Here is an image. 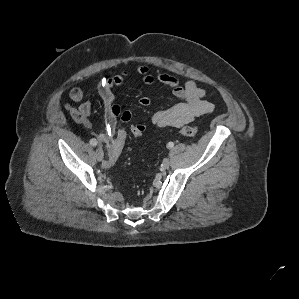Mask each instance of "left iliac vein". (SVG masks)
Segmentation results:
<instances>
[{"instance_id":"left-iliac-vein-1","label":"left iliac vein","mask_w":299,"mask_h":299,"mask_svg":"<svg viewBox=\"0 0 299 299\" xmlns=\"http://www.w3.org/2000/svg\"><path fill=\"white\" fill-rule=\"evenodd\" d=\"M170 166V160L168 158H164L163 162H162V168L163 169H168Z\"/></svg>"}]
</instances>
